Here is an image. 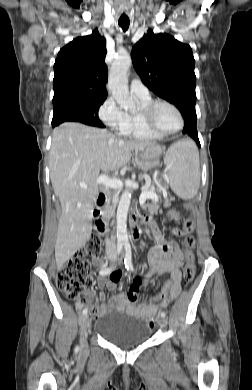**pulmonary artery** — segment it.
<instances>
[{
  "label": "pulmonary artery",
  "mask_w": 252,
  "mask_h": 390,
  "mask_svg": "<svg viewBox=\"0 0 252 390\" xmlns=\"http://www.w3.org/2000/svg\"><path fill=\"white\" fill-rule=\"evenodd\" d=\"M130 91L137 98H148L149 90L139 79H132L130 82Z\"/></svg>",
  "instance_id": "pulmonary-artery-1"
}]
</instances>
